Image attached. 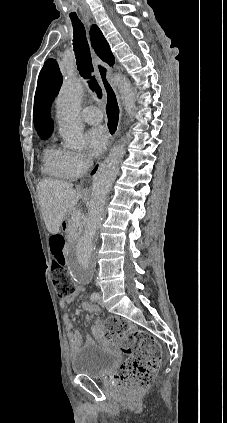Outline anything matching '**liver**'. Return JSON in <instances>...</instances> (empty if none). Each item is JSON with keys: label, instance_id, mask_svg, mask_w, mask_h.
Listing matches in <instances>:
<instances>
[{"label": "liver", "instance_id": "liver-1", "mask_svg": "<svg viewBox=\"0 0 227 423\" xmlns=\"http://www.w3.org/2000/svg\"><path fill=\"white\" fill-rule=\"evenodd\" d=\"M37 192L41 213L50 233H58L66 215L81 198L87 196L85 190H73V184L57 180H42L37 186Z\"/></svg>", "mask_w": 227, "mask_h": 423}]
</instances>
